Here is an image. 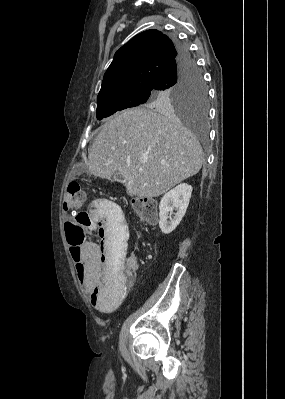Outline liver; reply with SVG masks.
<instances>
[{"instance_id":"6515ba94","label":"liver","mask_w":285,"mask_h":399,"mask_svg":"<svg viewBox=\"0 0 285 399\" xmlns=\"http://www.w3.org/2000/svg\"><path fill=\"white\" fill-rule=\"evenodd\" d=\"M202 163L198 140L173 113L140 107L107 119L87 166L100 178L120 174L130 196L152 198L197 174Z\"/></svg>"}]
</instances>
